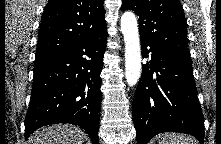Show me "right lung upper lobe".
Returning a JSON list of instances; mask_svg holds the SVG:
<instances>
[{"label": "right lung upper lobe", "mask_w": 221, "mask_h": 144, "mask_svg": "<svg viewBox=\"0 0 221 144\" xmlns=\"http://www.w3.org/2000/svg\"><path fill=\"white\" fill-rule=\"evenodd\" d=\"M104 0H49L36 56H53L106 30Z\"/></svg>", "instance_id": "obj_1"}]
</instances>
